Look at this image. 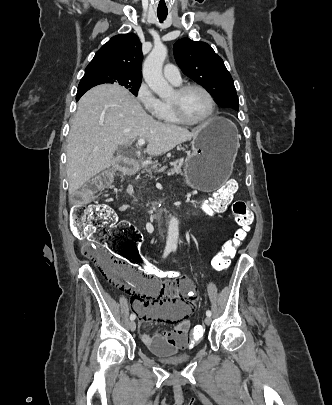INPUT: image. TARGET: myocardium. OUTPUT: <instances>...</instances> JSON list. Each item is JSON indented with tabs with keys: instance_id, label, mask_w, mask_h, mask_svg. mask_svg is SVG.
I'll return each instance as SVG.
<instances>
[{
	"instance_id": "f54148a6",
	"label": "myocardium",
	"mask_w": 332,
	"mask_h": 405,
	"mask_svg": "<svg viewBox=\"0 0 332 405\" xmlns=\"http://www.w3.org/2000/svg\"><path fill=\"white\" fill-rule=\"evenodd\" d=\"M190 89H198V90L202 91L207 96V98L210 102V110H209L208 114L198 120H190V119L186 118L183 114L181 104L179 101V98ZM175 92L178 96V99L175 101H169V103H170L171 109L173 111V114L176 117V119L178 120V122H180L182 124H186V125H201L212 119V117L214 116L215 111H216V102H215L213 95L207 88H205L204 86L197 84V83H187V84H183V85L179 86L175 90Z\"/></svg>"
}]
</instances>
